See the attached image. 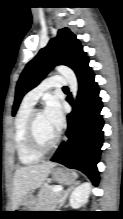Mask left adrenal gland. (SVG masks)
I'll use <instances>...</instances> for the list:
<instances>
[{"mask_svg":"<svg viewBox=\"0 0 123 219\" xmlns=\"http://www.w3.org/2000/svg\"><path fill=\"white\" fill-rule=\"evenodd\" d=\"M80 183V181H75L72 185H70L66 190H64L62 193H61V196H60V199H59V206H63L65 204V201L70 193V191L72 189H74V187L76 185H78Z\"/></svg>","mask_w":123,"mask_h":219,"instance_id":"1","label":"left adrenal gland"}]
</instances>
